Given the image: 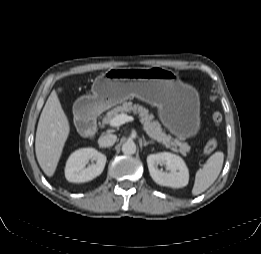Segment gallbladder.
I'll list each match as a JSON object with an SVG mask.
<instances>
[{
	"label": "gallbladder",
	"mask_w": 261,
	"mask_h": 254,
	"mask_svg": "<svg viewBox=\"0 0 261 254\" xmlns=\"http://www.w3.org/2000/svg\"><path fill=\"white\" fill-rule=\"evenodd\" d=\"M58 91L61 93L63 91V89L60 87V88H58Z\"/></svg>",
	"instance_id": "obj_1"
}]
</instances>
